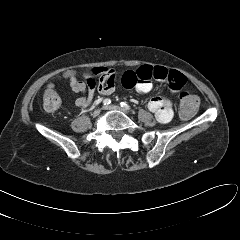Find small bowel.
<instances>
[{
	"label": "small bowel",
	"mask_w": 240,
	"mask_h": 240,
	"mask_svg": "<svg viewBox=\"0 0 240 240\" xmlns=\"http://www.w3.org/2000/svg\"><path fill=\"white\" fill-rule=\"evenodd\" d=\"M95 76H99L98 86ZM66 77L72 91L81 94L75 101V105L80 109L91 105L96 88L104 96L110 95L116 88L115 71L106 67L85 71L83 80H78L74 73H68ZM152 79L165 81L172 93L178 92L186 84V78L182 73L161 66H141L135 70H128L123 74L121 84L126 88H135L139 93L146 94L152 89ZM148 109L161 123L171 121L174 116L171 102L164 95L152 97L148 102Z\"/></svg>",
	"instance_id": "c3829d8e"
}]
</instances>
